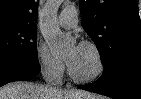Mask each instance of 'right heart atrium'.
Returning a JSON list of instances; mask_svg holds the SVG:
<instances>
[{"instance_id": "right-heart-atrium-1", "label": "right heart atrium", "mask_w": 141, "mask_h": 99, "mask_svg": "<svg viewBox=\"0 0 141 99\" xmlns=\"http://www.w3.org/2000/svg\"><path fill=\"white\" fill-rule=\"evenodd\" d=\"M35 57L38 68L45 79L51 82L61 80L65 72V64L62 60L53 56L44 43L37 42Z\"/></svg>"}]
</instances>
